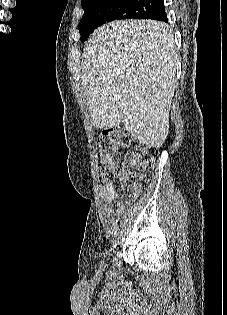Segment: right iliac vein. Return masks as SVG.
I'll return each mask as SVG.
<instances>
[{"mask_svg":"<svg viewBox=\"0 0 227 315\" xmlns=\"http://www.w3.org/2000/svg\"><path fill=\"white\" fill-rule=\"evenodd\" d=\"M119 243V238H115L113 241L114 246H116Z\"/></svg>","mask_w":227,"mask_h":315,"instance_id":"right-iliac-vein-1","label":"right iliac vein"}]
</instances>
